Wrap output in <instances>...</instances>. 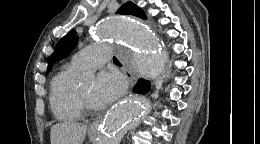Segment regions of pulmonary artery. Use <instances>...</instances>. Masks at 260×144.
<instances>
[{"mask_svg":"<svg viewBox=\"0 0 260 144\" xmlns=\"http://www.w3.org/2000/svg\"><path fill=\"white\" fill-rule=\"evenodd\" d=\"M111 48L106 44H92L72 57V63L78 68L92 69L111 60Z\"/></svg>","mask_w":260,"mask_h":144,"instance_id":"e3ab8cb5","label":"pulmonary artery"}]
</instances>
